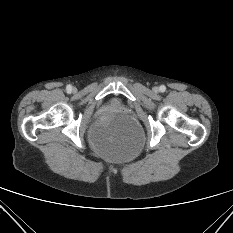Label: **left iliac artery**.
I'll use <instances>...</instances> for the list:
<instances>
[{
    "label": "left iliac artery",
    "mask_w": 233,
    "mask_h": 233,
    "mask_svg": "<svg viewBox=\"0 0 233 233\" xmlns=\"http://www.w3.org/2000/svg\"><path fill=\"white\" fill-rule=\"evenodd\" d=\"M159 89H160L161 92H165L166 87L164 85H161Z\"/></svg>",
    "instance_id": "obj_1"
}]
</instances>
